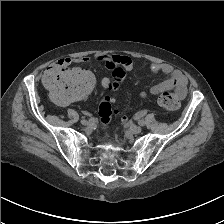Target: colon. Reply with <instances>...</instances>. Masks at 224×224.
Instances as JSON below:
<instances>
[{
  "label": "colon",
  "mask_w": 224,
  "mask_h": 224,
  "mask_svg": "<svg viewBox=\"0 0 224 224\" xmlns=\"http://www.w3.org/2000/svg\"><path fill=\"white\" fill-rule=\"evenodd\" d=\"M124 76V69H114L111 78L106 82L107 88L115 92ZM44 81L51 90L53 98L60 103L80 100L92 92L95 86V78L90 72L61 65L54 66L45 75ZM158 103L166 110H176L180 105L177 94L169 91H165L159 96ZM115 104L114 95H107L100 102L98 115L103 128L108 127Z\"/></svg>",
  "instance_id": "colon-1"
}]
</instances>
